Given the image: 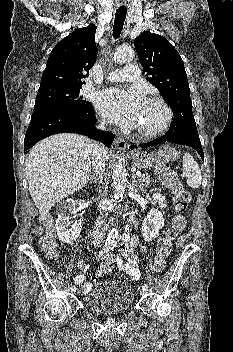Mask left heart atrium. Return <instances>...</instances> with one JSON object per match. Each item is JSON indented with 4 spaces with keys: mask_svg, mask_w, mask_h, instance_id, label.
Segmentation results:
<instances>
[{
    "mask_svg": "<svg viewBox=\"0 0 233 352\" xmlns=\"http://www.w3.org/2000/svg\"><path fill=\"white\" fill-rule=\"evenodd\" d=\"M144 99L135 88H110L101 92L96 100L101 113L123 127H136Z\"/></svg>",
    "mask_w": 233,
    "mask_h": 352,
    "instance_id": "1",
    "label": "left heart atrium"
}]
</instances>
